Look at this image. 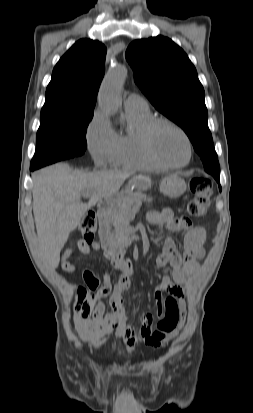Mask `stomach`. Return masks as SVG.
<instances>
[{
  "mask_svg": "<svg viewBox=\"0 0 253 413\" xmlns=\"http://www.w3.org/2000/svg\"><path fill=\"white\" fill-rule=\"evenodd\" d=\"M151 185L150 178L144 175L135 176L130 180L128 186L124 190L107 198L106 201L110 205L118 204L125 196L132 194L133 191H135V193L146 191L151 188ZM186 188V182L178 175L167 176L163 178L160 183V191L169 198H178L184 194Z\"/></svg>",
  "mask_w": 253,
  "mask_h": 413,
  "instance_id": "obj_1",
  "label": "stomach"
}]
</instances>
